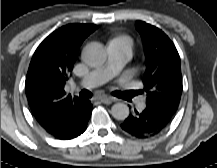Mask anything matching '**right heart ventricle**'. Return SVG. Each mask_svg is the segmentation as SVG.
Returning <instances> with one entry per match:
<instances>
[{"instance_id": "e07e8e85", "label": "right heart ventricle", "mask_w": 217, "mask_h": 168, "mask_svg": "<svg viewBox=\"0 0 217 168\" xmlns=\"http://www.w3.org/2000/svg\"><path fill=\"white\" fill-rule=\"evenodd\" d=\"M111 42H124L126 43L129 48L132 50V41L129 37L127 36H117L114 39L111 40Z\"/></svg>"}]
</instances>
